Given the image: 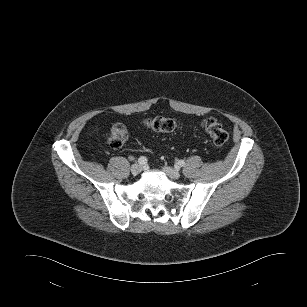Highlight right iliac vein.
I'll return each mask as SVG.
<instances>
[{
	"mask_svg": "<svg viewBox=\"0 0 307 307\" xmlns=\"http://www.w3.org/2000/svg\"><path fill=\"white\" fill-rule=\"evenodd\" d=\"M141 170H142V167H141V165L140 164H133L132 166H131V173L134 175V176H136V175H138L140 172H141Z\"/></svg>",
	"mask_w": 307,
	"mask_h": 307,
	"instance_id": "63e3f726",
	"label": "right iliac vein"
}]
</instances>
